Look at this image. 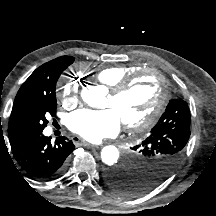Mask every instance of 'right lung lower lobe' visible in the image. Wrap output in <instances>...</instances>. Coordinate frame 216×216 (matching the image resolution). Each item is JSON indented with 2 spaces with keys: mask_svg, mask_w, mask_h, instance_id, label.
<instances>
[{
  "mask_svg": "<svg viewBox=\"0 0 216 216\" xmlns=\"http://www.w3.org/2000/svg\"><path fill=\"white\" fill-rule=\"evenodd\" d=\"M42 131L20 133L10 139V145L15 159L28 174L50 180L62 172L75 146L64 136L51 143V137L43 136Z\"/></svg>",
  "mask_w": 216,
  "mask_h": 216,
  "instance_id": "1",
  "label": "right lung lower lobe"
}]
</instances>
